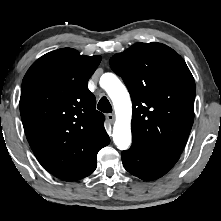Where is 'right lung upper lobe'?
Instances as JSON below:
<instances>
[{
    "label": "right lung upper lobe",
    "mask_w": 221,
    "mask_h": 221,
    "mask_svg": "<svg viewBox=\"0 0 221 221\" xmlns=\"http://www.w3.org/2000/svg\"><path fill=\"white\" fill-rule=\"evenodd\" d=\"M101 56L71 48L49 52L25 74L20 113L28 142L41 165L67 180L110 139L87 82Z\"/></svg>",
    "instance_id": "obj_1"
}]
</instances>
